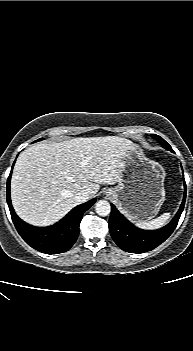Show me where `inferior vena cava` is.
<instances>
[{
  "label": "inferior vena cava",
  "instance_id": "1",
  "mask_svg": "<svg viewBox=\"0 0 193 351\" xmlns=\"http://www.w3.org/2000/svg\"><path fill=\"white\" fill-rule=\"evenodd\" d=\"M90 192L87 190H83L77 193L76 199L79 203H83L89 199Z\"/></svg>",
  "mask_w": 193,
  "mask_h": 351
}]
</instances>
